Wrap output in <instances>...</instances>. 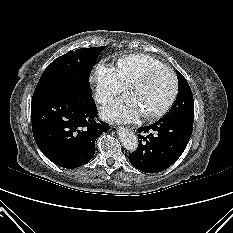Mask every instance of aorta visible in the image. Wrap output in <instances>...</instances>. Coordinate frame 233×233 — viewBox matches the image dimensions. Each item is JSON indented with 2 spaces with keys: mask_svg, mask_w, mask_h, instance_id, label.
<instances>
[{
  "mask_svg": "<svg viewBox=\"0 0 233 233\" xmlns=\"http://www.w3.org/2000/svg\"><path fill=\"white\" fill-rule=\"evenodd\" d=\"M118 135L123 146L129 151H135L138 147V138L135 133L126 128H120Z\"/></svg>",
  "mask_w": 233,
  "mask_h": 233,
  "instance_id": "obj_1",
  "label": "aorta"
}]
</instances>
